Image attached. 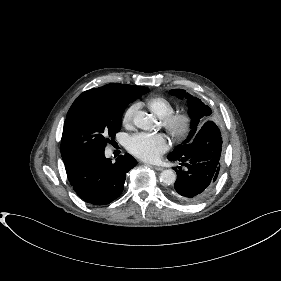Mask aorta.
Returning a JSON list of instances; mask_svg holds the SVG:
<instances>
[{
    "mask_svg": "<svg viewBox=\"0 0 281 281\" xmlns=\"http://www.w3.org/2000/svg\"><path fill=\"white\" fill-rule=\"evenodd\" d=\"M133 122L135 126L143 130H149L153 127V118L145 112L138 113ZM176 181V173L173 170H164L160 174V182L164 185H172Z\"/></svg>",
    "mask_w": 281,
    "mask_h": 281,
    "instance_id": "obj_1",
    "label": "aorta"
}]
</instances>
